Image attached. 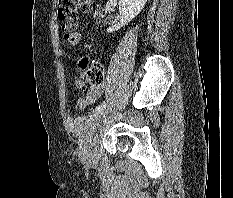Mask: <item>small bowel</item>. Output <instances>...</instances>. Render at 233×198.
Listing matches in <instances>:
<instances>
[{"label": "small bowel", "mask_w": 233, "mask_h": 198, "mask_svg": "<svg viewBox=\"0 0 233 198\" xmlns=\"http://www.w3.org/2000/svg\"><path fill=\"white\" fill-rule=\"evenodd\" d=\"M83 63L79 65L80 68L84 69L87 67L89 60L87 58H82ZM77 87L82 86L81 81L76 82ZM102 94V86L96 87V88H90V90L87 92L85 96H81L77 99L76 105L80 109H84L88 107L89 105L93 104Z\"/></svg>", "instance_id": "c3829d8e"}]
</instances>
